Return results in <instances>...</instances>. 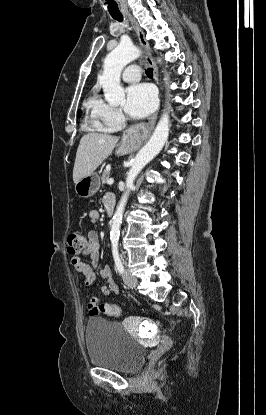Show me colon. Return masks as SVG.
Here are the masks:
<instances>
[{
    "label": "colon",
    "instance_id": "1",
    "mask_svg": "<svg viewBox=\"0 0 266 415\" xmlns=\"http://www.w3.org/2000/svg\"><path fill=\"white\" fill-rule=\"evenodd\" d=\"M68 252L71 254H78L82 252L87 246L86 237L80 232H71L67 238ZM98 313L106 314L110 317H118L122 313V309L116 304H100L97 307ZM158 325V323H156Z\"/></svg>",
    "mask_w": 266,
    "mask_h": 415
}]
</instances>
